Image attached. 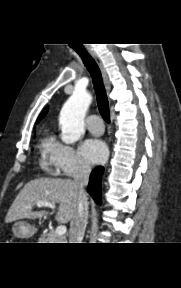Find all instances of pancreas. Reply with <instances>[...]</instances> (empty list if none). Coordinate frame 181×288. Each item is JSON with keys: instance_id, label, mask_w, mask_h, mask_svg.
<instances>
[{"instance_id": "1", "label": "pancreas", "mask_w": 181, "mask_h": 288, "mask_svg": "<svg viewBox=\"0 0 181 288\" xmlns=\"http://www.w3.org/2000/svg\"><path fill=\"white\" fill-rule=\"evenodd\" d=\"M65 238L59 236L55 231H50L46 234L41 235L39 238L40 243H64Z\"/></svg>"}]
</instances>
